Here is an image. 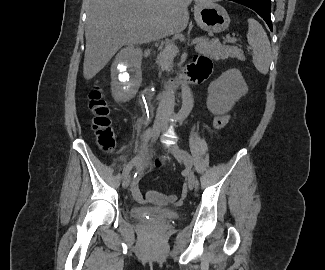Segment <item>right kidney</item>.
Instances as JSON below:
<instances>
[{"mask_svg":"<svg viewBox=\"0 0 325 270\" xmlns=\"http://www.w3.org/2000/svg\"><path fill=\"white\" fill-rule=\"evenodd\" d=\"M111 92L116 102H127L142 83L140 54L131 49L121 50L111 67Z\"/></svg>","mask_w":325,"mask_h":270,"instance_id":"obj_1","label":"right kidney"}]
</instances>
